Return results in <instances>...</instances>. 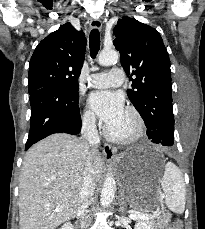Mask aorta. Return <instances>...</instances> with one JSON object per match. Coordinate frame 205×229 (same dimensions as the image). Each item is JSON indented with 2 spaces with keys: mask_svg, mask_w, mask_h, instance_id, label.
<instances>
[{
  "mask_svg": "<svg viewBox=\"0 0 205 229\" xmlns=\"http://www.w3.org/2000/svg\"><path fill=\"white\" fill-rule=\"evenodd\" d=\"M119 59V54L116 50L102 51L98 56V63L102 66L115 64ZM116 192V182L112 174H108L104 180L100 203L102 207L109 206Z\"/></svg>",
  "mask_w": 205,
  "mask_h": 229,
  "instance_id": "aorta-1",
  "label": "aorta"
}]
</instances>
